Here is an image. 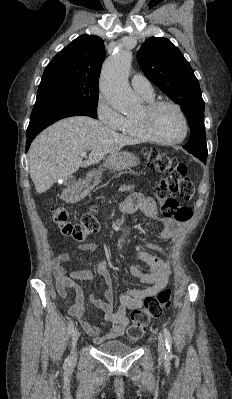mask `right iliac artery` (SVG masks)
<instances>
[{
  "label": "right iliac artery",
  "mask_w": 232,
  "mask_h": 399,
  "mask_svg": "<svg viewBox=\"0 0 232 399\" xmlns=\"http://www.w3.org/2000/svg\"><path fill=\"white\" fill-rule=\"evenodd\" d=\"M73 331H74V323L71 322V323L69 324V326H68V334H72ZM70 362H71L70 359L67 358L66 363H67V364H70Z\"/></svg>",
  "instance_id": "right-iliac-artery-1"
}]
</instances>
